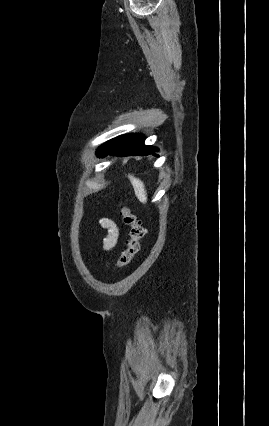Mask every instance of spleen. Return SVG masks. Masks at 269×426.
Segmentation results:
<instances>
[{
  "label": "spleen",
  "instance_id": "3e777b00",
  "mask_svg": "<svg viewBox=\"0 0 269 426\" xmlns=\"http://www.w3.org/2000/svg\"><path fill=\"white\" fill-rule=\"evenodd\" d=\"M128 179L133 186L136 197L141 203L147 202V192L145 190L144 183L134 175L128 174Z\"/></svg>",
  "mask_w": 269,
  "mask_h": 426
}]
</instances>
